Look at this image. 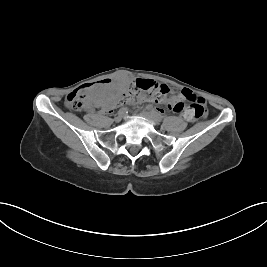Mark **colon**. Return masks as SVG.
Listing matches in <instances>:
<instances>
[{
	"mask_svg": "<svg viewBox=\"0 0 267 267\" xmlns=\"http://www.w3.org/2000/svg\"><path fill=\"white\" fill-rule=\"evenodd\" d=\"M169 89L166 85H160L149 79H136L128 89L122 93L121 99L117 96L107 102L106 109H111L119 101L124 103L136 102L139 100H151L155 103H165L168 99ZM181 95L184 101L189 103L185 107L183 102L174 106L175 113L190 120H197L207 114L206 102L204 98L194 94L189 89H183ZM65 103L68 108L74 111H81L87 107L88 99L81 89H76L69 93Z\"/></svg>",
	"mask_w": 267,
	"mask_h": 267,
	"instance_id": "colon-1",
	"label": "colon"
}]
</instances>
